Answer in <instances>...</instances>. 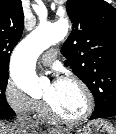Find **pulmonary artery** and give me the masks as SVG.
Returning a JSON list of instances; mask_svg holds the SVG:
<instances>
[{
  "instance_id": "pulmonary-artery-1",
  "label": "pulmonary artery",
  "mask_w": 116,
  "mask_h": 134,
  "mask_svg": "<svg viewBox=\"0 0 116 134\" xmlns=\"http://www.w3.org/2000/svg\"><path fill=\"white\" fill-rule=\"evenodd\" d=\"M57 51L55 49H50L45 52L42 56V62L44 65H50L56 58Z\"/></svg>"
}]
</instances>
